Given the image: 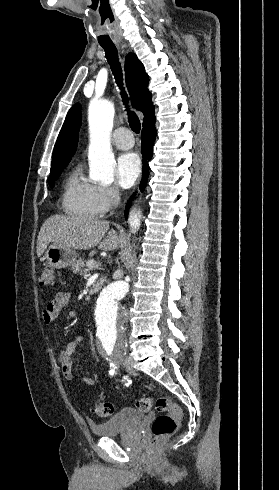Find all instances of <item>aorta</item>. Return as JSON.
<instances>
[{
	"label": "aorta",
	"mask_w": 279,
	"mask_h": 490,
	"mask_svg": "<svg viewBox=\"0 0 279 490\" xmlns=\"http://www.w3.org/2000/svg\"><path fill=\"white\" fill-rule=\"evenodd\" d=\"M114 113L113 104L106 100L92 102L89 106L90 176L93 180L104 184L112 183L114 180L116 162L110 146ZM140 217V212L130 216L129 224L132 233L138 230ZM128 291V283L115 281L105 286L98 295L94 308V324L95 336L102 347L125 343L126 315L119 301Z\"/></svg>",
	"instance_id": "1"
}]
</instances>
